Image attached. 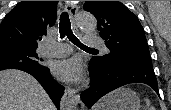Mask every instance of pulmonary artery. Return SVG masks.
Here are the masks:
<instances>
[{
    "instance_id": "obj_1",
    "label": "pulmonary artery",
    "mask_w": 171,
    "mask_h": 110,
    "mask_svg": "<svg viewBox=\"0 0 171 110\" xmlns=\"http://www.w3.org/2000/svg\"><path fill=\"white\" fill-rule=\"evenodd\" d=\"M85 42L87 46L98 47L104 52L107 51L104 42L95 33H86ZM45 45L46 48L43 50V54L49 57H63L71 52L68 44L56 42L52 39H46Z\"/></svg>"
}]
</instances>
